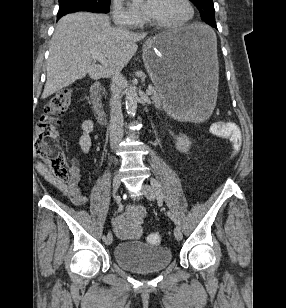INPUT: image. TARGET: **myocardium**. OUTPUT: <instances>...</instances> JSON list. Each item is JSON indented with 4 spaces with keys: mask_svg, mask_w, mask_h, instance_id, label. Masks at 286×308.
Listing matches in <instances>:
<instances>
[{
    "mask_svg": "<svg viewBox=\"0 0 286 308\" xmlns=\"http://www.w3.org/2000/svg\"><path fill=\"white\" fill-rule=\"evenodd\" d=\"M183 1L189 10V16L184 21L179 22V23H162L159 21H154L153 19L149 18L148 19L149 23L158 29H164V30L179 29L184 26H187L195 18V9H194V6L191 0H183Z\"/></svg>",
    "mask_w": 286,
    "mask_h": 308,
    "instance_id": "obj_1",
    "label": "myocardium"
}]
</instances>
